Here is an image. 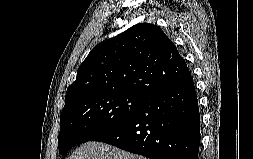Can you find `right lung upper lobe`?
<instances>
[{
    "label": "right lung upper lobe",
    "instance_id": "1",
    "mask_svg": "<svg viewBox=\"0 0 253 159\" xmlns=\"http://www.w3.org/2000/svg\"><path fill=\"white\" fill-rule=\"evenodd\" d=\"M189 76L185 60L161 28L140 23L92 49L66 92L65 104L100 92L148 97Z\"/></svg>",
    "mask_w": 253,
    "mask_h": 159
}]
</instances>
